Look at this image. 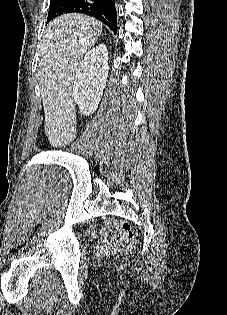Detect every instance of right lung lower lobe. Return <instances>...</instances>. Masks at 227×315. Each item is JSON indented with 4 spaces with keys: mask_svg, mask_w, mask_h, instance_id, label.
<instances>
[{
    "mask_svg": "<svg viewBox=\"0 0 227 315\" xmlns=\"http://www.w3.org/2000/svg\"><path fill=\"white\" fill-rule=\"evenodd\" d=\"M73 12L93 16L117 34L115 0H51L47 23L59 15Z\"/></svg>",
    "mask_w": 227,
    "mask_h": 315,
    "instance_id": "98d812e1",
    "label": "right lung lower lobe"
}]
</instances>
